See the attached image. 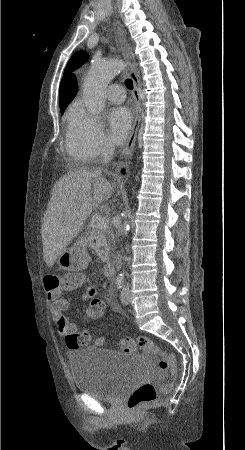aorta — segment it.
I'll list each match as a JSON object with an SVG mask.
<instances>
[{"mask_svg":"<svg viewBox=\"0 0 245 450\" xmlns=\"http://www.w3.org/2000/svg\"><path fill=\"white\" fill-rule=\"evenodd\" d=\"M125 68L121 60L94 62L84 82L83 95L87 110L93 115L101 113L105 105V89L109 81ZM130 226L126 219L123 224V235L127 236Z\"/></svg>","mask_w":245,"mask_h":450,"instance_id":"1","label":"aorta"}]
</instances>
